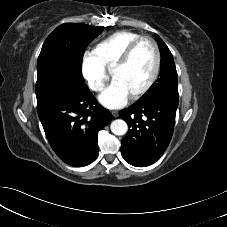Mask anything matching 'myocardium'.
Masks as SVG:
<instances>
[{"label":"myocardium","instance_id":"1","mask_svg":"<svg viewBox=\"0 0 227 227\" xmlns=\"http://www.w3.org/2000/svg\"><path fill=\"white\" fill-rule=\"evenodd\" d=\"M142 42H149L153 46V49L155 52V67H154V71H153L150 79L148 80V82L140 90H138L137 92H135L131 95V99H133V100L139 99L142 96H144L153 87V85L155 84V82L157 81V79L159 77L162 58H161L160 48H159L157 42L153 38L148 37V36H141V37L137 38L136 40H134L132 43L129 44V46L126 48V50L124 51L122 56L112 67V73H113V71H115L117 69H121V68L125 67L129 63L136 48Z\"/></svg>","mask_w":227,"mask_h":227}]
</instances>
